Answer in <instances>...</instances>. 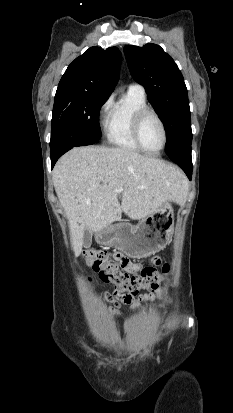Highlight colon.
<instances>
[{
    "instance_id": "obj_1",
    "label": "colon",
    "mask_w": 233,
    "mask_h": 413,
    "mask_svg": "<svg viewBox=\"0 0 233 413\" xmlns=\"http://www.w3.org/2000/svg\"><path fill=\"white\" fill-rule=\"evenodd\" d=\"M83 258L103 281L113 283L115 289L123 294H137L140 290L154 291L163 280L164 274L169 271L167 264L162 266V272L153 266H146L140 269L139 275L130 276L105 249L86 250Z\"/></svg>"
}]
</instances>
